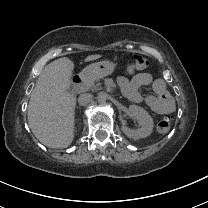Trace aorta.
Segmentation results:
<instances>
[{"instance_id": "762f6f07", "label": "aorta", "mask_w": 208, "mask_h": 208, "mask_svg": "<svg viewBox=\"0 0 208 208\" xmlns=\"http://www.w3.org/2000/svg\"><path fill=\"white\" fill-rule=\"evenodd\" d=\"M98 99H99V103H100V104H103V103L106 101L107 98H106L105 95L102 94V95L99 96Z\"/></svg>"}]
</instances>
